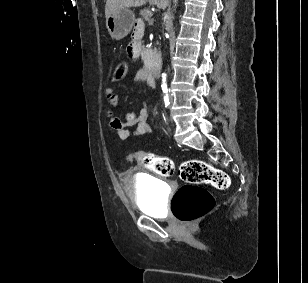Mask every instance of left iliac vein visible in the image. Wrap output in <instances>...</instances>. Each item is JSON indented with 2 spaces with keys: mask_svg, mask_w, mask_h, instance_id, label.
<instances>
[{
  "mask_svg": "<svg viewBox=\"0 0 308 283\" xmlns=\"http://www.w3.org/2000/svg\"><path fill=\"white\" fill-rule=\"evenodd\" d=\"M170 102L172 103V97H170Z\"/></svg>",
  "mask_w": 308,
  "mask_h": 283,
  "instance_id": "left-iliac-vein-1",
  "label": "left iliac vein"
}]
</instances>
